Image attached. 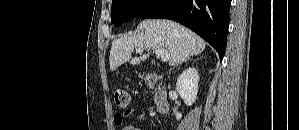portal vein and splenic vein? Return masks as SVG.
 <instances>
[{"instance_id":"obj_1","label":"portal vein and splenic vein","mask_w":299,"mask_h":130,"mask_svg":"<svg viewBox=\"0 0 299 130\" xmlns=\"http://www.w3.org/2000/svg\"><path fill=\"white\" fill-rule=\"evenodd\" d=\"M137 51L142 52L143 48L139 47ZM155 53L158 57H160L161 61L166 62L169 60L170 55L166 49H156Z\"/></svg>"}]
</instances>
